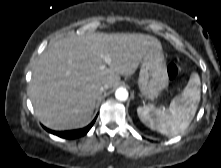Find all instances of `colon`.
Masks as SVG:
<instances>
[{
  "label": "colon",
  "instance_id": "5ec220e1",
  "mask_svg": "<svg viewBox=\"0 0 221 168\" xmlns=\"http://www.w3.org/2000/svg\"><path fill=\"white\" fill-rule=\"evenodd\" d=\"M179 73L180 69L176 64L171 63L167 66V76L170 80L176 79Z\"/></svg>",
  "mask_w": 221,
  "mask_h": 168
}]
</instances>
